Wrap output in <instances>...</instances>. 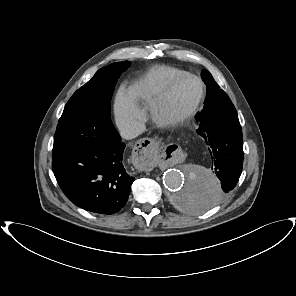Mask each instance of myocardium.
<instances>
[{
  "label": "myocardium",
  "mask_w": 296,
  "mask_h": 296,
  "mask_svg": "<svg viewBox=\"0 0 296 296\" xmlns=\"http://www.w3.org/2000/svg\"><path fill=\"white\" fill-rule=\"evenodd\" d=\"M186 78H192L197 81L200 89L199 95L194 104L185 112L178 115L170 114L168 112V102L170 95L174 88ZM205 95L206 87L200 77L192 73L181 74L167 84L158 98L151 105L150 109L152 119L157 125L164 128H175L182 126L189 122L197 114L205 99Z\"/></svg>",
  "instance_id": "f54148a6"
}]
</instances>
